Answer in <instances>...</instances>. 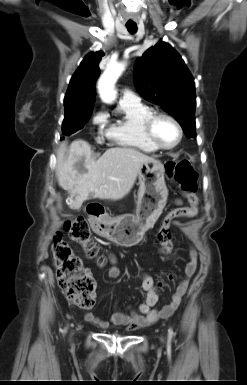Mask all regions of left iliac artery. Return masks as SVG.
Listing matches in <instances>:
<instances>
[{"instance_id":"obj_1","label":"left iliac artery","mask_w":247,"mask_h":385,"mask_svg":"<svg viewBox=\"0 0 247 385\" xmlns=\"http://www.w3.org/2000/svg\"><path fill=\"white\" fill-rule=\"evenodd\" d=\"M172 337V330H169V339Z\"/></svg>"}]
</instances>
